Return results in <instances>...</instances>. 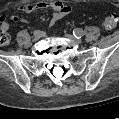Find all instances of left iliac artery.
Returning a JSON list of instances; mask_svg holds the SVG:
<instances>
[{
	"label": "left iliac artery",
	"instance_id": "left-iliac-artery-1",
	"mask_svg": "<svg viewBox=\"0 0 119 119\" xmlns=\"http://www.w3.org/2000/svg\"><path fill=\"white\" fill-rule=\"evenodd\" d=\"M85 34H86V32L83 31V30L80 29V28H76V29L73 30V35H74L76 38H81V37H83Z\"/></svg>",
	"mask_w": 119,
	"mask_h": 119
}]
</instances>
